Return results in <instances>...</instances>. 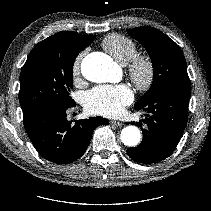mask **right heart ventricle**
Returning a JSON list of instances; mask_svg holds the SVG:
<instances>
[{
    "instance_id": "obj_1",
    "label": "right heart ventricle",
    "mask_w": 211,
    "mask_h": 211,
    "mask_svg": "<svg viewBox=\"0 0 211 211\" xmlns=\"http://www.w3.org/2000/svg\"><path fill=\"white\" fill-rule=\"evenodd\" d=\"M103 48L120 64L126 65L136 54L137 45L129 37L113 33L102 41Z\"/></svg>"
}]
</instances>
